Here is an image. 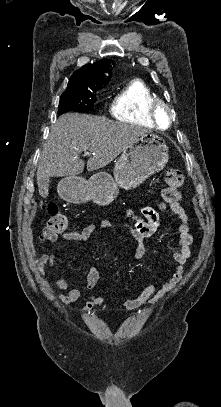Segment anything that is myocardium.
Here are the masks:
<instances>
[{
    "label": "myocardium",
    "mask_w": 221,
    "mask_h": 407,
    "mask_svg": "<svg viewBox=\"0 0 221 407\" xmlns=\"http://www.w3.org/2000/svg\"><path fill=\"white\" fill-rule=\"evenodd\" d=\"M164 111L167 115V124L165 127H161L159 124V114L160 112ZM151 116L153 123L160 129H168L173 121V113L171 107L165 103L162 100H156L152 105H151Z\"/></svg>",
    "instance_id": "f54148a6"
}]
</instances>
